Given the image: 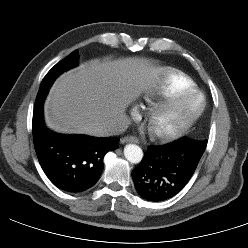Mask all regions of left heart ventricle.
Instances as JSON below:
<instances>
[{"label":"left heart ventricle","instance_id":"left-heart-ventricle-1","mask_svg":"<svg viewBox=\"0 0 248 248\" xmlns=\"http://www.w3.org/2000/svg\"><path fill=\"white\" fill-rule=\"evenodd\" d=\"M200 103L201 97L199 95H193L186 99L172 116L158 123V128L167 129L175 126L180 120L194 112Z\"/></svg>","mask_w":248,"mask_h":248}]
</instances>
